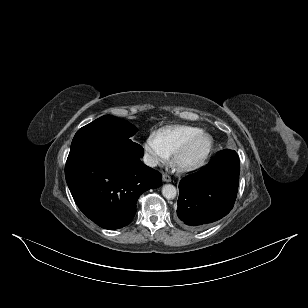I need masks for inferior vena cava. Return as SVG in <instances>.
Listing matches in <instances>:
<instances>
[{"mask_svg": "<svg viewBox=\"0 0 308 308\" xmlns=\"http://www.w3.org/2000/svg\"><path fill=\"white\" fill-rule=\"evenodd\" d=\"M143 159L144 163L149 167H155L158 165V160L149 154H146Z\"/></svg>", "mask_w": 308, "mask_h": 308, "instance_id": "1", "label": "inferior vena cava"}]
</instances>
